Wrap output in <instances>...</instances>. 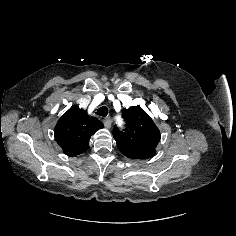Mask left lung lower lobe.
Returning <instances> with one entry per match:
<instances>
[{"instance_id": "obj_1", "label": "left lung lower lobe", "mask_w": 236, "mask_h": 236, "mask_svg": "<svg viewBox=\"0 0 236 236\" xmlns=\"http://www.w3.org/2000/svg\"><path fill=\"white\" fill-rule=\"evenodd\" d=\"M121 153L126 157L131 159H148L155 155V152L151 151H139V150H130V149H120Z\"/></svg>"}]
</instances>
